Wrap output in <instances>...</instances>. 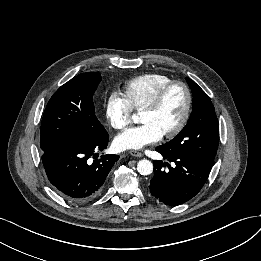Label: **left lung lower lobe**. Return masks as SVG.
<instances>
[{
	"label": "left lung lower lobe",
	"mask_w": 261,
	"mask_h": 261,
	"mask_svg": "<svg viewBox=\"0 0 261 261\" xmlns=\"http://www.w3.org/2000/svg\"><path fill=\"white\" fill-rule=\"evenodd\" d=\"M164 159L175 163L172 168L160 160L153 161L154 176L150 181V192L161 203L177 206L192 199L205 184L211 167L205 166L184 153H168L156 148ZM169 167L165 172L163 167Z\"/></svg>",
	"instance_id": "obj_1"
}]
</instances>
